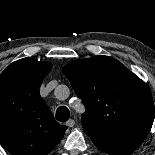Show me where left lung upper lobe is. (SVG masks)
<instances>
[{
	"instance_id": "left-lung-upper-lobe-1",
	"label": "left lung upper lobe",
	"mask_w": 155,
	"mask_h": 155,
	"mask_svg": "<svg viewBox=\"0 0 155 155\" xmlns=\"http://www.w3.org/2000/svg\"><path fill=\"white\" fill-rule=\"evenodd\" d=\"M63 73L86 107L83 130L92 141L148 134L155 117L152 95L121 62L95 56L71 61Z\"/></svg>"
}]
</instances>
